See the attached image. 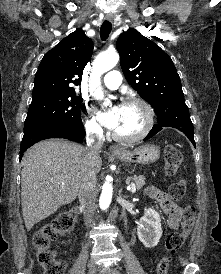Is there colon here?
<instances>
[{
  "mask_svg": "<svg viewBox=\"0 0 221 274\" xmlns=\"http://www.w3.org/2000/svg\"><path fill=\"white\" fill-rule=\"evenodd\" d=\"M164 172L167 176H173L182 161L181 152L173 144H168L164 150ZM186 191L185 181L180 179L169 187L168 196L172 200L181 199ZM76 219L75 209L58 215L52 221L44 224L32 235V244L35 248V255L38 263L44 269V274H64L65 265L56 258L55 252L50 248L51 242L56 240L73 228ZM195 220V209L186 206L183 212V224L180 231L168 235L165 244V255L159 260L156 267V274H167L169 256L179 250L191 233Z\"/></svg>",
  "mask_w": 221,
  "mask_h": 274,
  "instance_id": "5ec220e1",
  "label": "colon"
}]
</instances>
